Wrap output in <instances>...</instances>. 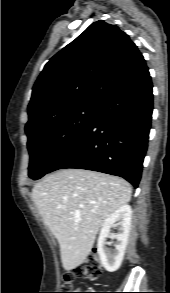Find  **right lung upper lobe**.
Returning a JSON list of instances; mask_svg holds the SVG:
<instances>
[{"label": "right lung upper lobe", "instance_id": "cb5924a9", "mask_svg": "<svg viewBox=\"0 0 170 293\" xmlns=\"http://www.w3.org/2000/svg\"><path fill=\"white\" fill-rule=\"evenodd\" d=\"M148 72L129 36L99 20L53 56L33 87L26 129L83 104L100 105Z\"/></svg>", "mask_w": 170, "mask_h": 293}]
</instances>
